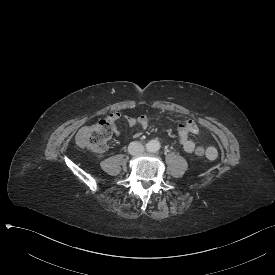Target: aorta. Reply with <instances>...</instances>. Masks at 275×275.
Returning a JSON list of instances; mask_svg holds the SVG:
<instances>
[{
    "mask_svg": "<svg viewBox=\"0 0 275 275\" xmlns=\"http://www.w3.org/2000/svg\"><path fill=\"white\" fill-rule=\"evenodd\" d=\"M146 149L149 152H157L160 149V142L158 140H151L146 144Z\"/></svg>",
    "mask_w": 275,
    "mask_h": 275,
    "instance_id": "obj_1",
    "label": "aorta"
}]
</instances>
